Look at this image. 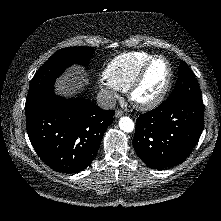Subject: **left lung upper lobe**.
<instances>
[{"label": "left lung upper lobe", "instance_id": "left-lung-upper-lobe-1", "mask_svg": "<svg viewBox=\"0 0 221 221\" xmlns=\"http://www.w3.org/2000/svg\"><path fill=\"white\" fill-rule=\"evenodd\" d=\"M187 98L195 101H203L199 84L188 67L184 62H180L178 80L173 92L167 99Z\"/></svg>", "mask_w": 221, "mask_h": 221}]
</instances>
